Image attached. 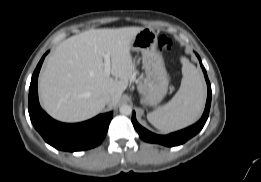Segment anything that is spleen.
<instances>
[{
  "mask_svg": "<svg viewBox=\"0 0 261 182\" xmlns=\"http://www.w3.org/2000/svg\"><path fill=\"white\" fill-rule=\"evenodd\" d=\"M178 92L164 106L147 114L148 121L164 133L173 132L194 123L201 115L206 91L201 73L185 57Z\"/></svg>",
  "mask_w": 261,
  "mask_h": 182,
  "instance_id": "1",
  "label": "spleen"
}]
</instances>
